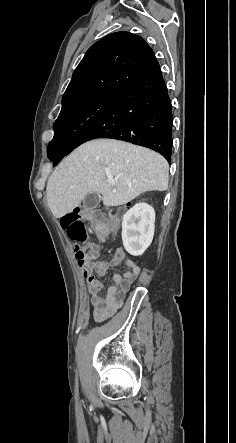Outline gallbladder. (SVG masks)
I'll use <instances>...</instances> for the list:
<instances>
[{"mask_svg":"<svg viewBox=\"0 0 236 443\" xmlns=\"http://www.w3.org/2000/svg\"><path fill=\"white\" fill-rule=\"evenodd\" d=\"M101 201V196L99 193L92 192L88 193L83 200V210L88 213L92 209L96 208Z\"/></svg>","mask_w":236,"mask_h":443,"instance_id":"obj_1","label":"gallbladder"}]
</instances>
